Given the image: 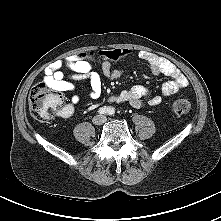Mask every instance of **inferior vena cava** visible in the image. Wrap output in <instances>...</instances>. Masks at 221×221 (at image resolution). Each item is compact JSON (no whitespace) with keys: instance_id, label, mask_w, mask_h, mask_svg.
I'll list each match as a JSON object with an SVG mask.
<instances>
[{"instance_id":"1","label":"inferior vena cava","mask_w":221,"mask_h":221,"mask_svg":"<svg viewBox=\"0 0 221 221\" xmlns=\"http://www.w3.org/2000/svg\"><path fill=\"white\" fill-rule=\"evenodd\" d=\"M106 121H107V118L104 115H97L96 117L93 118V122L95 124H102Z\"/></svg>"}]
</instances>
